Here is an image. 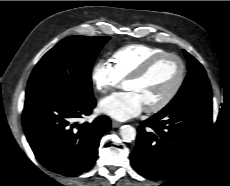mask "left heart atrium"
<instances>
[{
	"instance_id": "obj_1",
	"label": "left heart atrium",
	"mask_w": 230,
	"mask_h": 186,
	"mask_svg": "<svg viewBox=\"0 0 230 186\" xmlns=\"http://www.w3.org/2000/svg\"><path fill=\"white\" fill-rule=\"evenodd\" d=\"M143 109L139 97L131 91L115 93L99 103V110L102 113L120 121L136 117Z\"/></svg>"
}]
</instances>
